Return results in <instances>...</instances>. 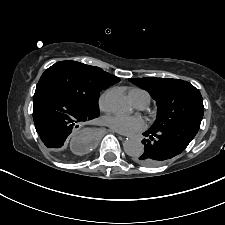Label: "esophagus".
<instances>
[{
  "mask_svg": "<svg viewBox=\"0 0 225 225\" xmlns=\"http://www.w3.org/2000/svg\"><path fill=\"white\" fill-rule=\"evenodd\" d=\"M117 134H119V135H121V136H123V137H126V135L125 134H122V133H119V132H117V131H115Z\"/></svg>",
  "mask_w": 225,
  "mask_h": 225,
  "instance_id": "obj_1",
  "label": "esophagus"
}]
</instances>
